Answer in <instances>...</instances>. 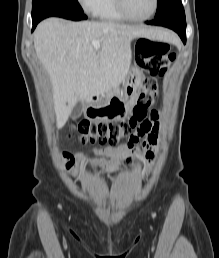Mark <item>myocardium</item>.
Masks as SVG:
<instances>
[{
	"mask_svg": "<svg viewBox=\"0 0 219 258\" xmlns=\"http://www.w3.org/2000/svg\"><path fill=\"white\" fill-rule=\"evenodd\" d=\"M115 3H116V7L119 11V13L127 20H130V21H134V22H143V21H146V20H149L150 18H152L157 10H158V7H159V0H154V7H153V10L151 11L150 14H148L147 16H144V17H135V16H132L126 6H125V1L124 0H115Z\"/></svg>",
	"mask_w": 219,
	"mask_h": 258,
	"instance_id": "myocardium-1",
	"label": "myocardium"
}]
</instances>
